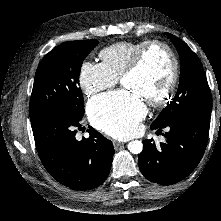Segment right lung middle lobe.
<instances>
[{
  "label": "right lung middle lobe",
  "instance_id": "right-lung-middle-lobe-1",
  "mask_svg": "<svg viewBox=\"0 0 221 221\" xmlns=\"http://www.w3.org/2000/svg\"><path fill=\"white\" fill-rule=\"evenodd\" d=\"M98 44L97 40L63 43L40 62L30 99V120L52 112H63L82 119L84 99L79 84L81 65Z\"/></svg>",
  "mask_w": 221,
  "mask_h": 221
}]
</instances>
